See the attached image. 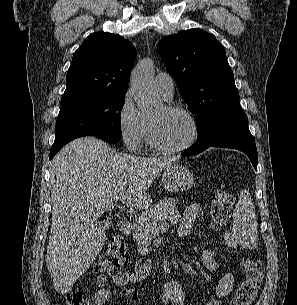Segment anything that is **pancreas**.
Returning a JSON list of instances; mask_svg holds the SVG:
<instances>
[{"label":"pancreas","instance_id":"1","mask_svg":"<svg viewBox=\"0 0 297 305\" xmlns=\"http://www.w3.org/2000/svg\"><path fill=\"white\" fill-rule=\"evenodd\" d=\"M178 200L168 198L151 206L142 213L135 224L134 238L137 241L138 252L146 254L152 238L158 233L159 225L164 224L167 220L176 224L181 220V215L177 210Z\"/></svg>","mask_w":297,"mask_h":305}]
</instances>
